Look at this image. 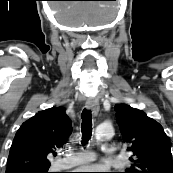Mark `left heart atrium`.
I'll return each instance as SVG.
<instances>
[{
	"mask_svg": "<svg viewBox=\"0 0 173 173\" xmlns=\"http://www.w3.org/2000/svg\"><path fill=\"white\" fill-rule=\"evenodd\" d=\"M81 169L83 173H107L109 170L107 167L100 164L90 165Z\"/></svg>",
	"mask_w": 173,
	"mask_h": 173,
	"instance_id": "obj_1",
	"label": "left heart atrium"
}]
</instances>
